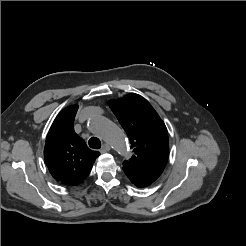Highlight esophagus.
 I'll return each instance as SVG.
<instances>
[{
  "mask_svg": "<svg viewBox=\"0 0 246 246\" xmlns=\"http://www.w3.org/2000/svg\"><path fill=\"white\" fill-rule=\"evenodd\" d=\"M110 151V146L108 144H103L101 149H100V152L101 153H106V152H109Z\"/></svg>",
  "mask_w": 246,
  "mask_h": 246,
  "instance_id": "esophagus-1",
  "label": "esophagus"
}]
</instances>
